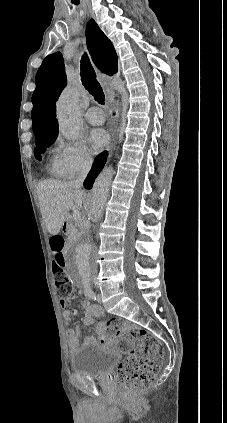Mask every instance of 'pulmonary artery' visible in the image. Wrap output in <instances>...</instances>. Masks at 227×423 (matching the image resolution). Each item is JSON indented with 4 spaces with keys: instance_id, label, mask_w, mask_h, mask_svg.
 <instances>
[{
    "instance_id": "pulmonary-artery-1",
    "label": "pulmonary artery",
    "mask_w": 227,
    "mask_h": 423,
    "mask_svg": "<svg viewBox=\"0 0 227 423\" xmlns=\"http://www.w3.org/2000/svg\"><path fill=\"white\" fill-rule=\"evenodd\" d=\"M85 119L93 126H102L105 123V113L98 107H92L86 112Z\"/></svg>"
}]
</instances>
